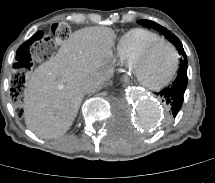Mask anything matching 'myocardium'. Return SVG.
<instances>
[{
	"mask_svg": "<svg viewBox=\"0 0 215 183\" xmlns=\"http://www.w3.org/2000/svg\"><path fill=\"white\" fill-rule=\"evenodd\" d=\"M167 44L169 45L172 50L174 51L175 54V63H174V67L173 70L171 72V74L161 83L156 84V85H149V84H145L144 82L141 81L139 74H138V65L141 61H143L147 55L151 52V50L156 47L159 44ZM179 63H180V54L178 49L176 48V46L170 42L167 39H159L156 40L152 43H150L149 45H147L136 57L135 59L132 61L129 69L131 71V74L133 76V78L135 79L136 83L145 88L146 90L149 91H160L162 89H164L165 87H167L176 77L178 70H179Z\"/></svg>",
	"mask_w": 215,
	"mask_h": 183,
	"instance_id": "myocardium-1",
	"label": "myocardium"
}]
</instances>
